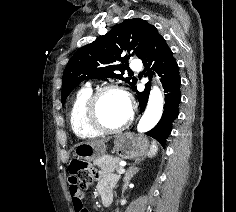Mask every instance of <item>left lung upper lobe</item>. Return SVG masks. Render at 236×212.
I'll list each match as a JSON object with an SVG mask.
<instances>
[{
  "mask_svg": "<svg viewBox=\"0 0 236 212\" xmlns=\"http://www.w3.org/2000/svg\"><path fill=\"white\" fill-rule=\"evenodd\" d=\"M153 28L146 20L128 19L78 50L63 73L62 104L79 83L88 79L116 78L135 89L137 79L124 78L123 73L128 68L130 56L143 57ZM124 53L126 55L122 57ZM118 61L122 64H118Z\"/></svg>",
  "mask_w": 236,
  "mask_h": 212,
  "instance_id": "obj_1",
  "label": "left lung upper lobe"
}]
</instances>
